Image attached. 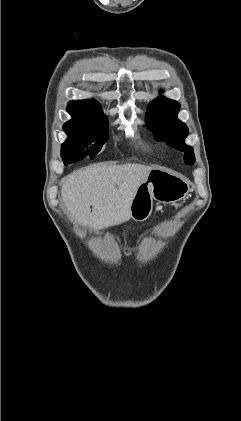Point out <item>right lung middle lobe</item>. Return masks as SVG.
Instances as JSON below:
<instances>
[{"instance_id":"dd1d6c3e","label":"right lung middle lobe","mask_w":241,"mask_h":421,"mask_svg":"<svg viewBox=\"0 0 241 421\" xmlns=\"http://www.w3.org/2000/svg\"><path fill=\"white\" fill-rule=\"evenodd\" d=\"M68 135L61 147L65 165L83 159L93 158L108 140V121L101 119L91 124H68L63 127Z\"/></svg>"}]
</instances>
